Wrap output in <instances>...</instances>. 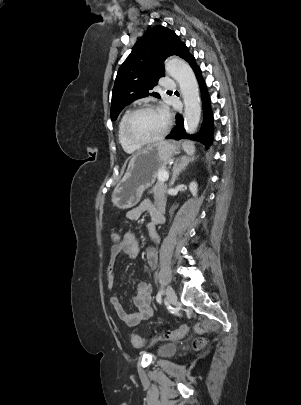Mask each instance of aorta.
Returning <instances> with one entry per match:
<instances>
[{
  "instance_id": "aorta-1",
  "label": "aorta",
  "mask_w": 301,
  "mask_h": 405,
  "mask_svg": "<svg viewBox=\"0 0 301 405\" xmlns=\"http://www.w3.org/2000/svg\"><path fill=\"white\" fill-rule=\"evenodd\" d=\"M165 68L167 73L179 83L185 105L184 127L188 134H193L201 116L199 88L195 74L188 63L177 57L167 60Z\"/></svg>"
}]
</instances>
